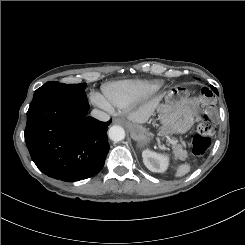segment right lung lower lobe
<instances>
[{
    "label": "right lung lower lobe",
    "mask_w": 245,
    "mask_h": 245,
    "mask_svg": "<svg viewBox=\"0 0 245 245\" xmlns=\"http://www.w3.org/2000/svg\"><path fill=\"white\" fill-rule=\"evenodd\" d=\"M85 92L48 90L27 112L25 141L36 166L46 175L73 182L96 175L109 151L107 127L87 116Z\"/></svg>",
    "instance_id": "obj_1"
}]
</instances>
